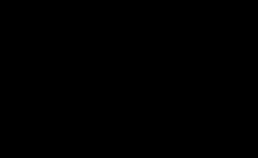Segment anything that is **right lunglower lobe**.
<instances>
[{"label": "right lung lower lobe", "mask_w": 258, "mask_h": 158, "mask_svg": "<svg viewBox=\"0 0 258 158\" xmlns=\"http://www.w3.org/2000/svg\"><path fill=\"white\" fill-rule=\"evenodd\" d=\"M41 76L45 106L56 122L76 133L101 130L116 103L129 97L126 84L107 79L102 63L86 56L48 59Z\"/></svg>", "instance_id": "98d812e1"}]
</instances>
